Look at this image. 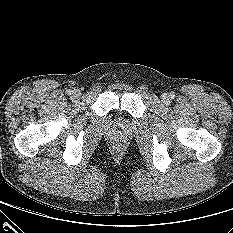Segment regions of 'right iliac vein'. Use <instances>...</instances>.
I'll return each mask as SVG.
<instances>
[{"instance_id":"1","label":"right iliac vein","mask_w":233,"mask_h":233,"mask_svg":"<svg viewBox=\"0 0 233 233\" xmlns=\"http://www.w3.org/2000/svg\"><path fill=\"white\" fill-rule=\"evenodd\" d=\"M72 96H73L74 98H79V97L81 96L80 90L74 89V90L72 91Z\"/></svg>"}]
</instances>
